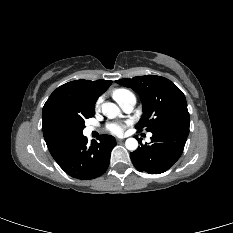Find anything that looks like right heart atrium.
I'll use <instances>...</instances> for the list:
<instances>
[{
	"instance_id": "obj_1",
	"label": "right heart atrium",
	"mask_w": 233,
	"mask_h": 233,
	"mask_svg": "<svg viewBox=\"0 0 233 233\" xmlns=\"http://www.w3.org/2000/svg\"><path fill=\"white\" fill-rule=\"evenodd\" d=\"M100 104V100L97 102V105H99Z\"/></svg>"
}]
</instances>
